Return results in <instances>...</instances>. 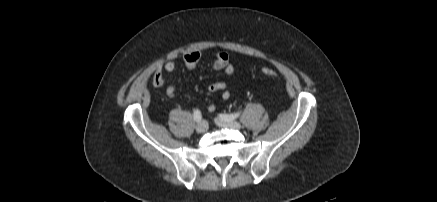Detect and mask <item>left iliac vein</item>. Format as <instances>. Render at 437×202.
Instances as JSON below:
<instances>
[{
  "label": "left iliac vein",
  "instance_id": "1",
  "mask_svg": "<svg viewBox=\"0 0 437 202\" xmlns=\"http://www.w3.org/2000/svg\"><path fill=\"white\" fill-rule=\"evenodd\" d=\"M215 123L220 127L229 128V129L238 130L241 128V124L237 121H225L222 120L221 118H216Z\"/></svg>",
  "mask_w": 437,
  "mask_h": 202
}]
</instances>
